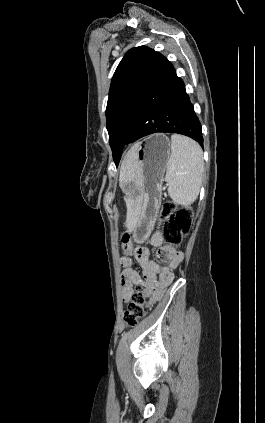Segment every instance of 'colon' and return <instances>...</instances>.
Segmentation results:
<instances>
[{
    "label": "colon",
    "instance_id": "1",
    "mask_svg": "<svg viewBox=\"0 0 265 423\" xmlns=\"http://www.w3.org/2000/svg\"><path fill=\"white\" fill-rule=\"evenodd\" d=\"M194 213L192 209L178 207L171 201L166 202L161 210L162 236L166 244L179 245L183 238L190 232L193 224ZM122 252L128 254L132 250L131 237L124 234L122 237ZM145 297L140 290H133L130 303L124 313V321L130 326H136L145 316Z\"/></svg>",
    "mask_w": 265,
    "mask_h": 423
}]
</instances>
